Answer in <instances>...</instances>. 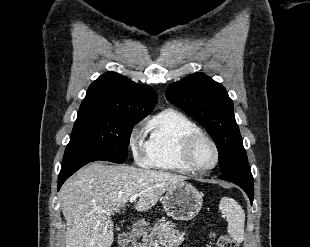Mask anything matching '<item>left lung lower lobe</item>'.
Returning a JSON list of instances; mask_svg holds the SVG:
<instances>
[{
  "mask_svg": "<svg viewBox=\"0 0 310 247\" xmlns=\"http://www.w3.org/2000/svg\"><path fill=\"white\" fill-rule=\"evenodd\" d=\"M220 179L233 182L240 186L248 195L251 204L254 199V181L250 168L244 169L240 172L222 174Z\"/></svg>",
  "mask_w": 310,
  "mask_h": 247,
  "instance_id": "left-lung-lower-lobe-1",
  "label": "left lung lower lobe"
}]
</instances>
